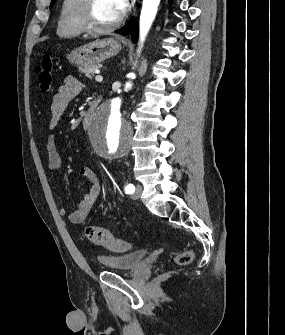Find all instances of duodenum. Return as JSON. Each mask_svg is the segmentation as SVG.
I'll list each match as a JSON object with an SVG mask.
<instances>
[{
  "label": "duodenum",
  "instance_id": "duodenum-1",
  "mask_svg": "<svg viewBox=\"0 0 285 335\" xmlns=\"http://www.w3.org/2000/svg\"><path fill=\"white\" fill-rule=\"evenodd\" d=\"M96 109V105L92 104L91 106H89V108L85 111L84 116H83V126L87 127L88 123L91 119V117L93 116L94 112Z\"/></svg>",
  "mask_w": 285,
  "mask_h": 335
}]
</instances>
